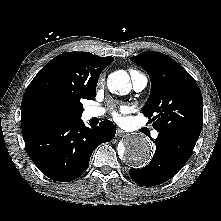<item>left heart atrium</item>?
<instances>
[{"instance_id": "left-heart-atrium-1", "label": "left heart atrium", "mask_w": 221, "mask_h": 221, "mask_svg": "<svg viewBox=\"0 0 221 221\" xmlns=\"http://www.w3.org/2000/svg\"><path fill=\"white\" fill-rule=\"evenodd\" d=\"M113 116L116 118V119H118V115H117V113L114 111L113 112Z\"/></svg>"}]
</instances>
